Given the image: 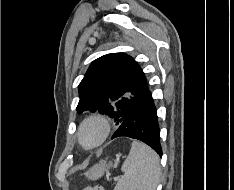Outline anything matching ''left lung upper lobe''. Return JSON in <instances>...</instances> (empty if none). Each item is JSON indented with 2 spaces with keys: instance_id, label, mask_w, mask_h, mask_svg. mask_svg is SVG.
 <instances>
[{
  "instance_id": "1",
  "label": "left lung upper lobe",
  "mask_w": 234,
  "mask_h": 190,
  "mask_svg": "<svg viewBox=\"0 0 234 190\" xmlns=\"http://www.w3.org/2000/svg\"><path fill=\"white\" fill-rule=\"evenodd\" d=\"M78 88V113L98 111L113 118L119 126L147 90V82L132 57L111 53L91 63Z\"/></svg>"
}]
</instances>
